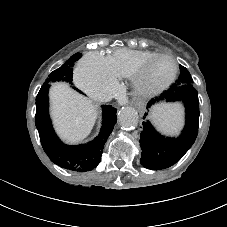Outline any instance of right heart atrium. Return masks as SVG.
<instances>
[{
	"instance_id": "d8ad5b80",
	"label": "right heart atrium",
	"mask_w": 227,
	"mask_h": 227,
	"mask_svg": "<svg viewBox=\"0 0 227 227\" xmlns=\"http://www.w3.org/2000/svg\"><path fill=\"white\" fill-rule=\"evenodd\" d=\"M75 79L84 92L99 100L113 95L118 86L107 58L98 52H89L82 58Z\"/></svg>"
}]
</instances>
